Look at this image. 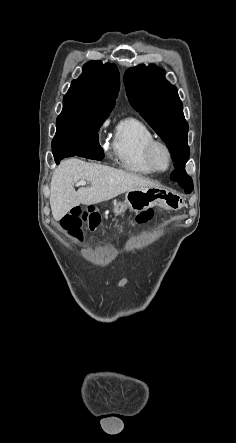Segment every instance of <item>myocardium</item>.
Masks as SVG:
<instances>
[{"label": "myocardium", "mask_w": 236, "mask_h": 443, "mask_svg": "<svg viewBox=\"0 0 236 443\" xmlns=\"http://www.w3.org/2000/svg\"><path fill=\"white\" fill-rule=\"evenodd\" d=\"M157 148H162L167 153L168 165L165 169H160L157 166L156 159H155V152H156ZM145 156H146V161L149 164V166L152 168V170L154 172H157V173H164V172L168 171L173 164L172 150L166 142L161 141V140L154 139V140L150 141L146 146Z\"/></svg>", "instance_id": "f54148a6"}]
</instances>
